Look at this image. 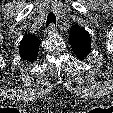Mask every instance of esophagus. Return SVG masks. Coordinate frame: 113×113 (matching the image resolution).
Segmentation results:
<instances>
[{"instance_id": "34e87169", "label": "esophagus", "mask_w": 113, "mask_h": 113, "mask_svg": "<svg viewBox=\"0 0 113 113\" xmlns=\"http://www.w3.org/2000/svg\"><path fill=\"white\" fill-rule=\"evenodd\" d=\"M56 33H57V29L53 24H51L46 30V34L48 36H51V35L56 34Z\"/></svg>"}]
</instances>
